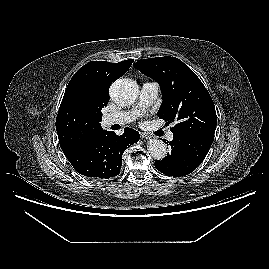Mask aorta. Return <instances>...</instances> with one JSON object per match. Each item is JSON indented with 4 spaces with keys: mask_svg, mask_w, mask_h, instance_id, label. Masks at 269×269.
Wrapping results in <instances>:
<instances>
[{
    "mask_svg": "<svg viewBox=\"0 0 269 269\" xmlns=\"http://www.w3.org/2000/svg\"><path fill=\"white\" fill-rule=\"evenodd\" d=\"M138 95L136 82L129 79H118L110 87V96L120 106L132 104ZM148 152L155 160H162L167 155L166 144L159 139H152L148 143Z\"/></svg>",
    "mask_w": 269,
    "mask_h": 269,
    "instance_id": "1",
    "label": "aorta"
}]
</instances>
